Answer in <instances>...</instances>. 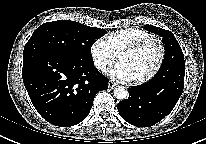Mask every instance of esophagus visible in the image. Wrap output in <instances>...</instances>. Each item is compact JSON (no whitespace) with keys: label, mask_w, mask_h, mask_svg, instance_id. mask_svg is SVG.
<instances>
[{"label":"esophagus","mask_w":206,"mask_h":144,"mask_svg":"<svg viewBox=\"0 0 206 144\" xmlns=\"http://www.w3.org/2000/svg\"><path fill=\"white\" fill-rule=\"evenodd\" d=\"M116 85H117V84H116L115 82H113V81H109V83H108V87H109L110 89H113Z\"/></svg>","instance_id":"esophagus-1"}]
</instances>
